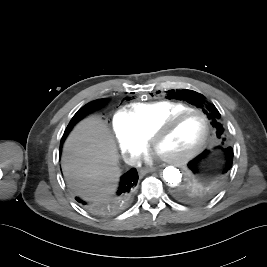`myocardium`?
<instances>
[{
    "label": "myocardium",
    "mask_w": 267,
    "mask_h": 267,
    "mask_svg": "<svg viewBox=\"0 0 267 267\" xmlns=\"http://www.w3.org/2000/svg\"><path fill=\"white\" fill-rule=\"evenodd\" d=\"M191 114H197L200 115L205 123V133L201 141L191 150L188 152L170 156V157H164V159L167 162L174 163V164H183L200 154L205 147L208 144V139L210 136L211 131V123L206 113H204L202 110L199 109H187L184 111L177 112L171 116H169L165 121H163L152 133L150 136V143L153 148H156V145L159 141V139L164 136L176 123H178L181 119L184 117L191 115Z\"/></svg>",
    "instance_id": "myocardium-1"
}]
</instances>
